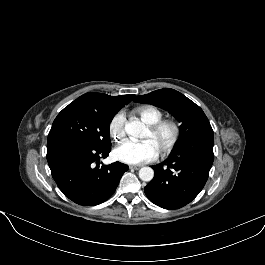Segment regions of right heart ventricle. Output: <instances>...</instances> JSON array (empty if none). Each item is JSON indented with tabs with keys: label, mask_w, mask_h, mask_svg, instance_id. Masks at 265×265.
Masks as SVG:
<instances>
[{
	"label": "right heart ventricle",
	"mask_w": 265,
	"mask_h": 265,
	"mask_svg": "<svg viewBox=\"0 0 265 265\" xmlns=\"http://www.w3.org/2000/svg\"><path fill=\"white\" fill-rule=\"evenodd\" d=\"M135 113L147 125L156 123L163 118L162 111L151 105L139 106L135 109Z\"/></svg>",
	"instance_id": "right-heart-ventricle-1"
}]
</instances>
